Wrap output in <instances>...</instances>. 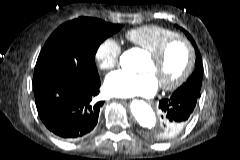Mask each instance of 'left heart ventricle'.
Segmentation results:
<instances>
[{"label": "left heart ventricle", "instance_id": "1", "mask_svg": "<svg viewBox=\"0 0 240 160\" xmlns=\"http://www.w3.org/2000/svg\"><path fill=\"white\" fill-rule=\"evenodd\" d=\"M187 63V50L180 43L173 45L161 63H155L148 57L143 72L153 73L159 84L173 82L184 70Z\"/></svg>", "mask_w": 240, "mask_h": 160}]
</instances>
